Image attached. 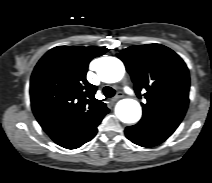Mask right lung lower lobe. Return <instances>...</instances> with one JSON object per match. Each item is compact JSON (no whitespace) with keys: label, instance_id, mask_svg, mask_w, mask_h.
<instances>
[{"label":"right lung lower lobe","instance_id":"obj_1","mask_svg":"<svg viewBox=\"0 0 212 183\" xmlns=\"http://www.w3.org/2000/svg\"><path fill=\"white\" fill-rule=\"evenodd\" d=\"M98 126V125H97ZM97 126L90 130L86 135L82 138L61 144L60 146L67 148V149H76L85 144L86 142L90 141L97 133Z\"/></svg>","mask_w":212,"mask_h":183}]
</instances>
